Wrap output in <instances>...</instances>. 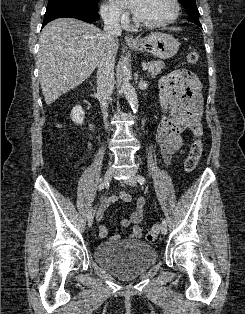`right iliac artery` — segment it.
Returning a JSON list of instances; mask_svg holds the SVG:
<instances>
[{"label":"right iliac artery","mask_w":245,"mask_h":314,"mask_svg":"<svg viewBox=\"0 0 245 314\" xmlns=\"http://www.w3.org/2000/svg\"><path fill=\"white\" fill-rule=\"evenodd\" d=\"M108 185H109V184H108ZM106 186H107L106 184L102 183V184L99 185L98 188H99V190H102V189H104ZM92 212H93V209H90V211L88 212V217H89V215H90Z\"/></svg>","instance_id":"right-iliac-artery-1"}]
</instances>
